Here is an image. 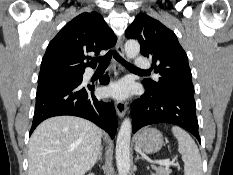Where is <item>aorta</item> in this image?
I'll list each match as a JSON object with an SVG mask.
<instances>
[{
    "mask_svg": "<svg viewBox=\"0 0 233 175\" xmlns=\"http://www.w3.org/2000/svg\"><path fill=\"white\" fill-rule=\"evenodd\" d=\"M140 52L138 41L128 40L125 43V54L128 59L135 58ZM132 125L129 118L121 124L116 142V165L120 175H127L130 168V139Z\"/></svg>",
    "mask_w": 233,
    "mask_h": 175,
    "instance_id": "762f6f07",
    "label": "aorta"
}]
</instances>
